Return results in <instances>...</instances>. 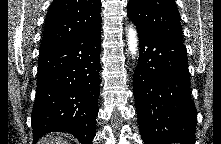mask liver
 Instances as JSON below:
<instances>
[{"label":"liver","instance_id":"1","mask_svg":"<svg viewBox=\"0 0 221 144\" xmlns=\"http://www.w3.org/2000/svg\"><path fill=\"white\" fill-rule=\"evenodd\" d=\"M63 136V133L49 135L40 139L38 144H68V141L63 139Z\"/></svg>","mask_w":221,"mask_h":144}]
</instances>
